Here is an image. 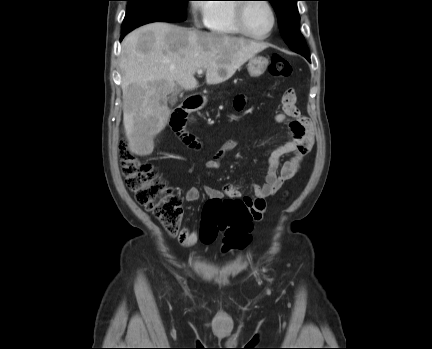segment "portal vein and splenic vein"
<instances>
[{
  "instance_id": "obj_1",
  "label": "portal vein and splenic vein",
  "mask_w": 432,
  "mask_h": 349,
  "mask_svg": "<svg viewBox=\"0 0 432 349\" xmlns=\"http://www.w3.org/2000/svg\"><path fill=\"white\" fill-rule=\"evenodd\" d=\"M197 73H198V75H202L203 74V70L200 69V70L197 71Z\"/></svg>"
}]
</instances>
